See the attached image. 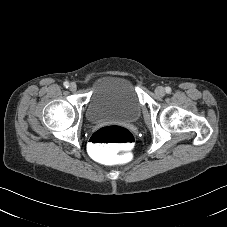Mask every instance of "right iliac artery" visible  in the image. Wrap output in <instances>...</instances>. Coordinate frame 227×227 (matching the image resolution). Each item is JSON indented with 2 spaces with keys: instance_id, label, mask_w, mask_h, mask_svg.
I'll return each instance as SVG.
<instances>
[{
  "instance_id": "obj_1",
  "label": "right iliac artery",
  "mask_w": 227,
  "mask_h": 227,
  "mask_svg": "<svg viewBox=\"0 0 227 227\" xmlns=\"http://www.w3.org/2000/svg\"><path fill=\"white\" fill-rule=\"evenodd\" d=\"M64 87L68 88L69 87V83L68 82H64Z\"/></svg>"
}]
</instances>
